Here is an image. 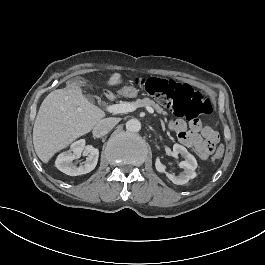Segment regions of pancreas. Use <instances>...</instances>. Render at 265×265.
<instances>
[{
    "label": "pancreas",
    "instance_id": "obj_1",
    "mask_svg": "<svg viewBox=\"0 0 265 265\" xmlns=\"http://www.w3.org/2000/svg\"><path fill=\"white\" fill-rule=\"evenodd\" d=\"M134 106L138 107H152L153 109L156 110L157 113H162L166 114V112L163 110L162 107H160L155 101L149 99V98H144V99H137L135 102H133Z\"/></svg>",
    "mask_w": 265,
    "mask_h": 265
}]
</instances>
